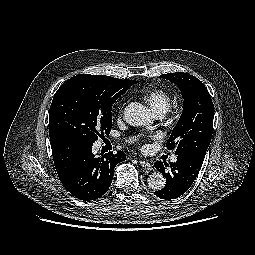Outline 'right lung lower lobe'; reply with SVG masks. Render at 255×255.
Segmentation results:
<instances>
[{
	"label": "right lung lower lobe",
	"mask_w": 255,
	"mask_h": 255,
	"mask_svg": "<svg viewBox=\"0 0 255 255\" xmlns=\"http://www.w3.org/2000/svg\"><path fill=\"white\" fill-rule=\"evenodd\" d=\"M54 165L65 188L80 200H95L111 185L115 166L126 160L122 151L95 157L93 144L59 135L50 138Z\"/></svg>",
	"instance_id": "98d812e1"
}]
</instances>
